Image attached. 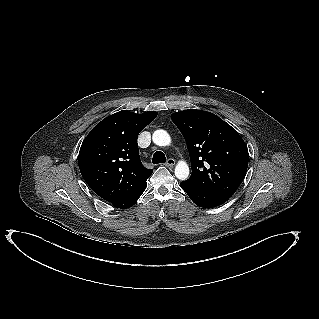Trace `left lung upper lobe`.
Returning a JSON list of instances; mask_svg holds the SVG:
<instances>
[{"label": "left lung upper lobe", "instance_id": "obj_1", "mask_svg": "<svg viewBox=\"0 0 319 319\" xmlns=\"http://www.w3.org/2000/svg\"><path fill=\"white\" fill-rule=\"evenodd\" d=\"M186 140L192 174L185 182L229 199L244 179L248 149L238 132L213 113L188 109L171 115Z\"/></svg>", "mask_w": 319, "mask_h": 319}]
</instances>
